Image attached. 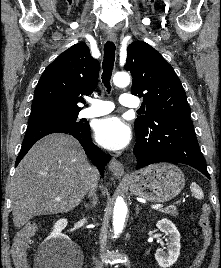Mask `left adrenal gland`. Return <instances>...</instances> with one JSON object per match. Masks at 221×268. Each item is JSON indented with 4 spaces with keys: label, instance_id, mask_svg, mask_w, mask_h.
<instances>
[{
    "label": "left adrenal gland",
    "instance_id": "a2214340",
    "mask_svg": "<svg viewBox=\"0 0 221 268\" xmlns=\"http://www.w3.org/2000/svg\"><path fill=\"white\" fill-rule=\"evenodd\" d=\"M140 210L141 208L139 207V205H136V216H138Z\"/></svg>",
    "mask_w": 221,
    "mask_h": 268
}]
</instances>
